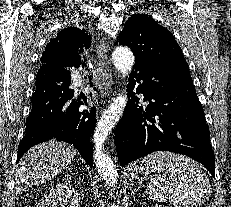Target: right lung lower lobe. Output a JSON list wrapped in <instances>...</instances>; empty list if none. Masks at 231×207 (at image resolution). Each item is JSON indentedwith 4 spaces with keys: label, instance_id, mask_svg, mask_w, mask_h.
<instances>
[{
    "label": "right lung lower lobe",
    "instance_id": "obj_1",
    "mask_svg": "<svg viewBox=\"0 0 231 207\" xmlns=\"http://www.w3.org/2000/svg\"><path fill=\"white\" fill-rule=\"evenodd\" d=\"M65 30L78 36H88L84 29L69 27ZM89 81L93 87L91 79ZM70 84L67 67H40L31 99L32 109L26 119V133L18 147V161L32 146L56 139L73 144L86 163L93 166L90 137L95 129L96 107L87 106L85 96L84 101L80 100L81 97L77 98L74 90L69 88Z\"/></svg>",
    "mask_w": 231,
    "mask_h": 207
}]
</instances>
